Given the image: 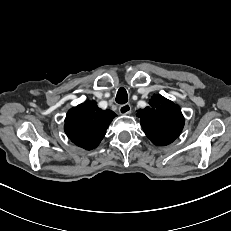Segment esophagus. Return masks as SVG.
Wrapping results in <instances>:
<instances>
[{
	"instance_id": "1",
	"label": "esophagus",
	"mask_w": 231,
	"mask_h": 231,
	"mask_svg": "<svg viewBox=\"0 0 231 231\" xmlns=\"http://www.w3.org/2000/svg\"><path fill=\"white\" fill-rule=\"evenodd\" d=\"M119 112L122 115L131 113V105L129 103L123 104L119 106Z\"/></svg>"
}]
</instances>
